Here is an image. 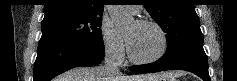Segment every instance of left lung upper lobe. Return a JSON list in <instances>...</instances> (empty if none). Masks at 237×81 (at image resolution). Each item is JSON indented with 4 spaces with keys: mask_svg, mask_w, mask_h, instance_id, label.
Here are the masks:
<instances>
[{
    "mask_svg": "<svg viewBox=\"0 0 237 81\" xmlns=\"http://www.w3.org/2000/svg\"><path fill=\"white\" fill-rule=\"evenodd\" d=\"M144 6L166 33L168 47L163 59H174L190 48L203 45L194 0H147Z\"/></svg>",
    "mask_w": 237,
    "mask_h": 81,
    "instance_id": "left-lung-upper-lobe-1",
    "label": "left lung upper lobe"
}]
</instances>
